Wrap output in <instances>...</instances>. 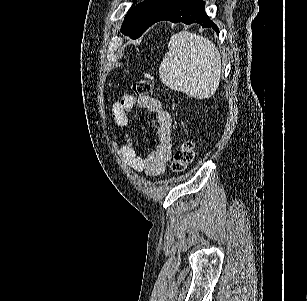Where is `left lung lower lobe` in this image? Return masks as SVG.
<instances>
[{"label": "left lung lower lobe", "mask_w": 307, "mask_h": 301, "mask_svg": "<svg viewBox=\"0 0 307 301\" xmlns=\"http://www.w3.org/2000/svg\"><path fill=\"white\" fill-rule=\"evenodd\" d=\"M204 7L205 2L200 0H179L158 17L155 22L169 20L173 23H199L203 28L212 27L219 33L217 26L206 15Z\"/></svg>", "instance_id": "0a47b994"}]
</instances>
